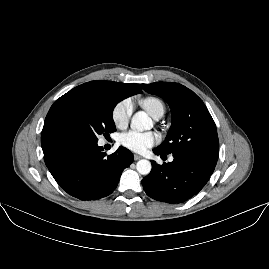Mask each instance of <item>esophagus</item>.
<instances>
[{"label":"esophagus","instance_id":"34e87169","mask_svg":"<svg viewBox=\"0 0 269 269\" xmlns=\"http://www.w3.org/2000/svg\"><path fill=\"white\" fill-rule=\"evenodd\" d=\"M143 157L141 155H138V154H134V160L137 161V160H140L142 159Z\"/></svg>","mask_w":269,"mask_h":269}]
</instances>
